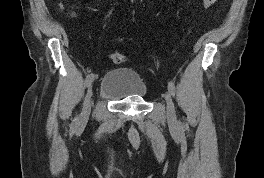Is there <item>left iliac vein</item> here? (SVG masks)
<instances>
[{
  "label": "left iliac vein",
  "mask_w": 264,
  "mask_h": 178,
  "mask_svg": "<svg viewBox=\"0 0 264 178\" xmlns=\"http://www.w3.org/2000/svg\"><path fill=\"white\" fill-rule=\"evenodd\" d=\"M165 101L167 104V117L171 124H174L176 122V113H175V107L172 100V97L169 93L165 94Z\"/></svg>",
  "instance_id": "left-iliac-vein-1"
}]
</instances>
